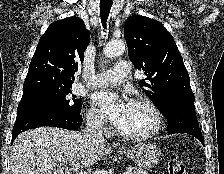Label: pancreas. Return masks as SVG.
I'll use <instances>...</instances> for the list:
<instances>
[{
  "label": "pancreas",
  "instance_id": "pancreas-1",
  "mask_svg": "<svg viewBox=\"0 0 224 174\" xmlns=\"http://www.w3.org/2000/svg\"><path fill=\"white\" fill-rule=\"evenodd\" d=\"M128 169L131 170L132 174H148L146 171L137 169L135 167H128Z\"/></svg>",
  "mask_w": 224,
  "mask_h": 174
}]
</instances>
